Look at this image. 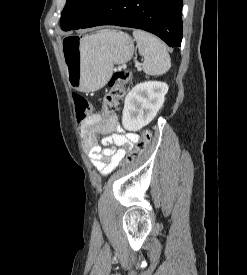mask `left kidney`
Masks as SVG:
<instances>
[{
  "label": "left kidney",
  "mask_w": 247,
  "mask_h": 275,
  "mask_svg": "<svg viewBox=\"0 0 247 275\" xmlns=\"http://www.w3.org/2000/svg\"><path fill=\"white\" fill-rule=\"evenodd\" d=\"M168 85L161 81L137 84L126 96L122 125L128 131H138L148 125L162 107Z\"/></svg>",
  "instance_id": "left-kidney-1"
}]
</instances>
